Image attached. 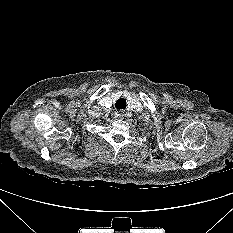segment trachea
Returning <instances> with one entry per match:
<instances>
[{"label":"trachea","instance_id":"trachea-1","mask_svg":"<svg viewBox=\"0 0 233 233\" xmlns=\"http://www.w3.org/2000/svg\"><path fill=\"white\" fill-rule=\"evenodd\" d=\"M115 107L117 109H125L126 108V100L124 98H120L115 103Z\"/></svg>","mask_w":233,"mask_h":233}]
</instances>
